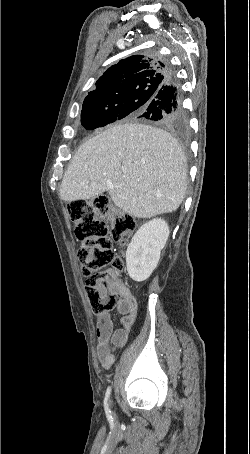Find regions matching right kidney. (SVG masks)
<instances>
[{"mask_svg": "<svg viewBox=\"0 0 250 454\" xmlns=\"http://www.w3.org/2000/svg\"><path fill=\"white\" fill-rule=\"evenodd\" d=\"M168 236L169 226L161 218L153 219L138 229L126 251L127 271L134 281L142 282L151 275Z\"/></svg>", "mask_w": 250, "mask_h": 454, "instance_id": "1", "label": "right kidney"}]
</instances>
